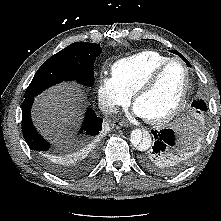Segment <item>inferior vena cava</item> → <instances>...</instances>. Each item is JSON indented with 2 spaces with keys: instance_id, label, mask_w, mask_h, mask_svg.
<instances>
[{
  "instance_id": "602c4592",
  "label": "inferior vena cava",
  "mask_w": 221,
  "mask_h": 221,
  "mask_svg": "<svg viewBox=\"0 0 221 221\" xmlns=\"http://www.w3.org/2000/svg\"><path fill=\"white\" fill-rule=\"evenodd\" d=\"M100 109L105 114L116 113L117 107L110 102H101Z\"/></svg>"
}]
</instances>
